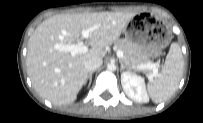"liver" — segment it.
Returning <instances> with one entry per match:
<instances>
[{
	"label": "liver",
	"mask_w": 203,
	"mask_h": 123,
	"mask_svg": "<svg viewBox=\"0 0 203 123\" xmlns=\"http://www.w3.org/2000/svg\"><path fill=\"white\" fill-rule=\"evenodd\" d=\"M136 12H95L60 14L44 20L28 42L27 73L36 92L54 105L76 100L88 71L84 62L103 58L106 48L116 42ZM97 26L86 39L90 49L72 55L55 49L58 44L83 43L82 30Z\"/></svg>",
	"instance_id": "obj_1"
}]
</instances>
